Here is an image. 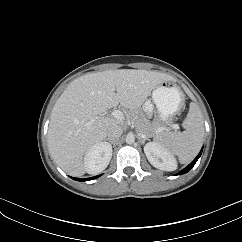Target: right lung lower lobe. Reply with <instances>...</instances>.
Masks as SVG:
<instances>
[{
    "mask_svg": "<svg viewBox=\"0 0 242 242\" xmlns=\"http://www.w3.org/2000/svg\"><path fill=\"white\" fill-rule=\"evenodd\" d=\"M100 175L98 176H95V177H90V178H73L74 180H77V181H88V180H93V179H96L98 178Z\"/></svg>",
    "mask_w": 242,
    "mask_h": 242,
    "instance_id": "98d812e1",
    "label": "right lung lower lobe"
}]
</instances>
